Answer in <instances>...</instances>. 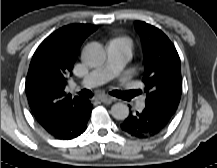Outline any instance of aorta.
<instances>
[{
	"mask_svg": "<svg viewBox=\"0 0 217 168\" xmlns=\"http://www.w3.org/2000/svg\"><path fill=\"white\" fill-rule=\"evenodd\" d=\"M82 59L90 67L101 66L106 60V53L101 45L92 43L82 52ZM111 114L117 120H125L129 115V107L124 103H115L111 107Z\"/></svg>",
	"mask_w": 217,
	"mask_h": 168,
	"instance_id": "762f6f07",
	"label": "aorta"
}]
</instances>
